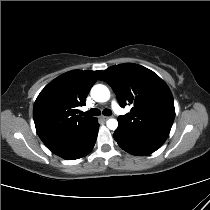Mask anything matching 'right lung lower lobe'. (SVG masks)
I'll list each match as a JSON object with an SVG mask.
<instances>
[{
    "instance_id": "obj_1",
    "label": "right lung lower lobe",
    "mask_w": 210,
    "mask_h": 210,
    "mask_svg": "<svg viewBox=\"0 0 210 210\" xmlns=\"http://www.w3.org/2000/svg\"><path fill=\"white\" fill-rule=\"evenodd\" d=\"M98 129L99 124L95 119L94 124L89 130L75 136L71 141L53 153L66 160H75L87 155L94 147Z\"/></svg>"
}]
</instances>
